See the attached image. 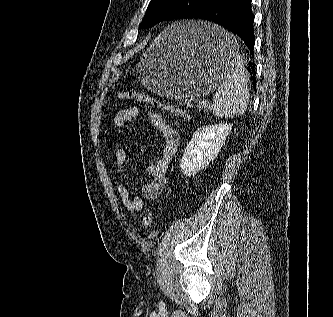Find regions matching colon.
<instances>
[{
    "mask_svg": "<svg viewBox=\"0 0 333 317\" xmlns=\"http://www.w3.org/2000/svg\"><path fill=\"white\" fill-rule=\"evenodd\" d=\"M118 97L121 99L137 101L144 105L150 106L154 109L162 110L164 112H168V113L180 116L187 120L190 119V114L187 111L174 107V106H171L169 104H165L162 101H160L144 92L128 90V91L120 92L118 94ZM152 220H153L152 211H147L142 218V224L145 227H149L152 223Z\"/></svg>",
    "mask_w": 333,
    "mask_h": 317,
    "instance_id": "1",
    "label": "colon"
}]
</instances>
